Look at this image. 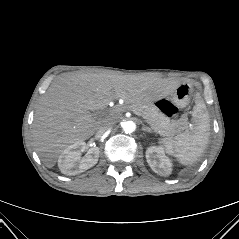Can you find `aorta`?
<instances>
[{
	"label": "aorta",
	"instance_id": "762f6f07",
	"mask_svg": "<svg viewBox=\"0 0 239 239\" xmlns=\"http://www.w3.org/2000/svg\"><path fill=\"white\" fill-rule=\"evenodd\" d=\"M121 126L125 133H132L136 129V124L133 121H125Z\"/></svg>",
	"mask_w": 239,
	"mask_h": 239
}]
</instances>
